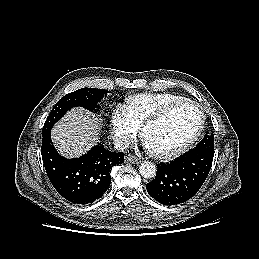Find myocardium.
Masks as SVG:
<instances>
[{
  "label": "myocardium",
  "mask_w": 259,
  "mask_h": 259,
  "mask_svg": "<svg viewBox=\"0 0 259 259\" xmlns=\"http://www.w3.org/2000/svg\"><path fill=\"white\" fill-rule=\"evenodd\" d=\"M183 105H191L194 106L200 114V121L199 124L194 131V133L183 143L178 145L177 147H174L172 149L166 150V151H154L148 148L151 155H153L155 158L162 159V160H170L173 158L178 157L182 153L186 152L188 149H190L194 143L198 140L200 137L204 125H205V113L203 108L195 101L190 99H184L172 102L164 107H162L159 111H157L155 114H153L151 117H149L141 126V132L140 136L143 142H145V135L147 130L160 120H162L164 117H166L172 110H174L177 107L183 106Z\"/></svg>",
  "instance_id": "f54148a6"
}]
</instances>
